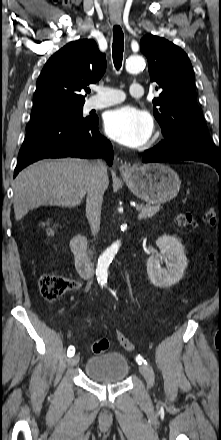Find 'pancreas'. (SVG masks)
Here are the masks:
<instances>
[{
  "label": "pancreas",
  "instance_id": "obj_1",
  "mask_svg": "<svg viewBox=\"0 0 221 440\" xmlns=\"http://www.w3.org/2000/svg\"><path fill=\"white\" fill-rule=\"evenodd\" d=\"M136 209L144 214V218L153 217L160 211V205H137Z\"/></svg>",
  "mask_w": 221,
  "mask_h": 440
}]
</instances>
